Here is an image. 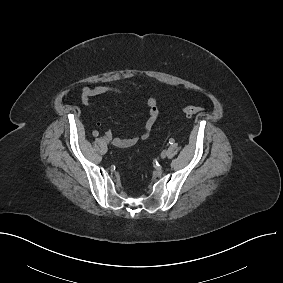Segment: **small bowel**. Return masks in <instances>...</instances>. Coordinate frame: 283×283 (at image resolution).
<instances>
[{
    "label": "small bowel",
    "instance_id": "obj_1",
    "mask_svg": "<svg viewBox=\"0 0 283 283\" xmlns=\"http://www.w3.org/2000/svg\"><path fill=\"white\" fill-rule=\"evenodd\" d=\"M125 92L123 88L116 87V86H109V85H101L96 87H88L84 86L81 90V100L85 106H89L92 102V99L106 94H114V95H121ZM147 106V119L144 123V126L141 132L132 137L128 138H120V137H113L111 131H107L106 135L109 139L112 140V144L118 148H129L136 145L139 141L145 140L149 137L158 117H159V109L157 105V101L155 98H149L146 101Z\"/></svg>",
    "mask_w": 283,
    "mask_h": 283
}]
</instances>
